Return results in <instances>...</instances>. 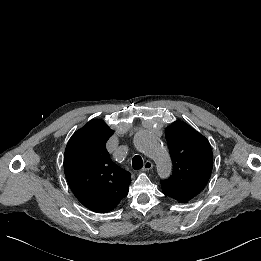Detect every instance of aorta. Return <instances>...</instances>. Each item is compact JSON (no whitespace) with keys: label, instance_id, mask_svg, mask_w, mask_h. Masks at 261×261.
<instances>
[{"label":"aorta","instance_id":"1","mask_svg":"<svg viewBox=\"0 0 261 261\" xmlns=\"http://www.w3.org/2000/svg\"><path fill=\"white\" fill-rule=\"evenodd\" d=\"M133 144L139 152L146 154L155 161L160 178H167L170 175V157L158 138L148 131L140 130L135 134Z\"/></svg>","mask_w":261,"mask_h":261}]
</instances>
